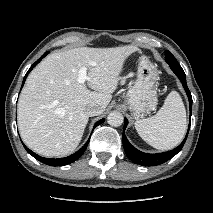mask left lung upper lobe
Segmentation results:
<instances>
[{
    "label": "left lung upper lobe",
    "mask_w": 213,
    "mask_h": 213,
    "mask_svg": "<svg viewBox=\"0 0 213 213\" xmlns=\"http://www.w3.org/2000/svg\"><path fill=\"white\" fill-rule=\"evenodd\" d=\"M165 57H166V62L169 64V66L171 67L172 71L178 75H184L185 76V73L182 69V67L179 65V63L177 62L176 58L169 52V51H166L165 52Z\"/></svg>",
    "instance_id": "obj_1"
}]
</instances>
